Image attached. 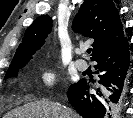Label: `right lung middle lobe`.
Wrapping results in <instances>:
<instances>
[{"mask_svg":"<svg viewBox=\"0 0 133 118\" xmlns=\"http://www.w3.org/2000/svg\"><path fill=\"white\" fill-rule=\"evenodd\" d=\"M26 64H27V62L26 63H21V64H16V65L10 67L8 69L7 73H6L7 78L12 77V76H16L17 73H18V70L20 68H22L23 66H25Z\"/></svg>","mask_w":133,"mask_h":118,"instance_id":"1","label":"right lung middle lobe"}]
</instances>
